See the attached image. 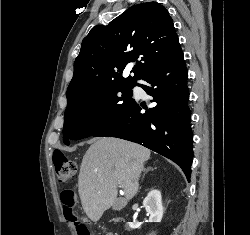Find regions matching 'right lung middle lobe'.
Returning a JSON list of instances; mask_svg holds the SVG:
<instances>
[{"mask_svg": "<svg viewBox=\"0 0 250 235\" xmlns=\"http://www.w3.org/2000/svg\"><path fill=\"white\" fill-rule=\"evenodd\" d=\"M133 100L132 87L110 86L67 104L64 116L63 141L93 136L116 118Z\"/></svg>", "mask_w": 250, "mask_h": 235, "instance_id": "dd1d6c3e", "label": "right lung middle lobe"}]
</instances>
